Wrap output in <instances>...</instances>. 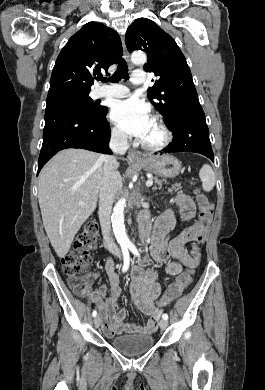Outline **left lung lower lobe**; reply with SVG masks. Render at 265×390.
<instances>
[{
  "mask_svg": "<svg viewBox=\"0 0 265 390\" xmlns=\"http://www.w3.org/2000/svg\"><path fill=\"white\" fill-rule=\"evenodd\" d=\"M169 129L173 133V141L162 152H195L214 162L209 129L201 105L183 110Z\"/></svg>",
  "mask_w": 265,
  "mask_h": 390,
  "instance_id": "left-lung-lower-lobe-1",
  "label": "left lung lower lobe"
}]
</instances>
